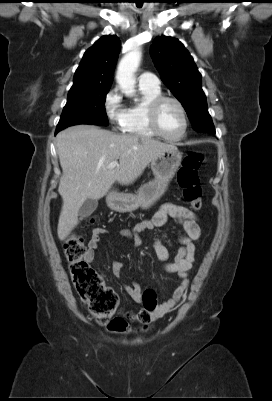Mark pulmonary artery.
Masks as SVG:
<instances>
[{"label": "pulmonary artery", "mask_w": 272, "mask_h": 401, "mask_svg": "<svg viewBox=\"0 0 272 401\" xmlns=\"http://www.w3.org/2000/svg\"><path fill=\"white\" fill-rule=\"evenodd\" d=\"M138 83L140 87L145 88H159L160 80L156 75L150 72L142 73L138 78Z\"/></svg>", "instance_id": "pulmonary-artery-1"}]
</instances>
